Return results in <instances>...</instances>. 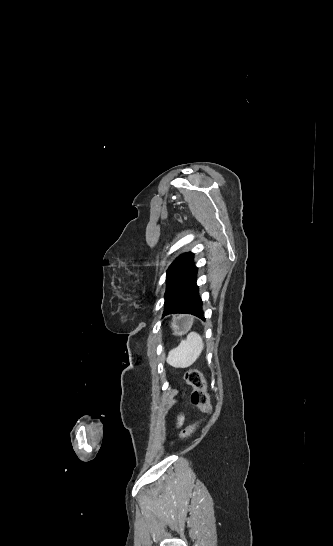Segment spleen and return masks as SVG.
I'll return each mask as SVG.
<instances>
[{"instance_id":"obj_1","label":"spleen","mask_w":333,"mask_h":546,"mask_svg":"<svg viewBox=\"0 0 333 546\" xmlns=\"http://www.w3.org/2000/svg\"><path fill=\"white\" fill-rule=\"evenodd\" d=\"M186 319L190 325L193 323V317H186ZM203 349L202 337L198 333L192 332L186 340L181 341L176 348L169 352L167 362L177 368L191 366L200 357Z\"/></svg>"}]
</instances>
